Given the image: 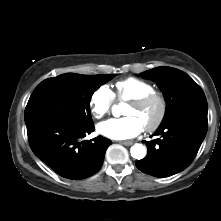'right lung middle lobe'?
Segmentation results:
<instances>
[{"label": "right lung middle lobe", "mask_w": 221, "mask_h": 221, "mask_svg": "<svg viewBox=\"0 0 221 221\" xmlns=\"http://www.w3.org/2000/svg\"><path fill=\"white\" fill-rule=\"evenodd\" d=\"M115 75L66 73L42 81L25 109V123L39 116H56L80 127L93 125L90 100L93 93Z\"/></svg>", "instance_id": "right-lung-middle-lobe-1"}]
</instances>
